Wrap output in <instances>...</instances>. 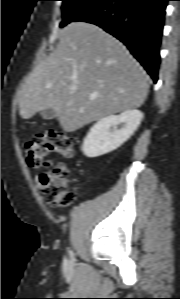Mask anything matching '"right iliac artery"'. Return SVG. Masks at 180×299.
Masks as SVG:
<instances>
[{
  "label": "right iliac artery",
  "instance_id": "82829eb1",
  "mask_svg": "<svg viewBox=\"0 0 180 299\" xmlns=\"http://www.w3.org/2000/svg\"><path fill=\"white\" fill-rule=\"evenodd\" d=\"M69 254L71 255L72 254V252L69 250Z\"/></svg>",
  "mask_w": 180,
  "mask_h": 299
}]
</instances>
